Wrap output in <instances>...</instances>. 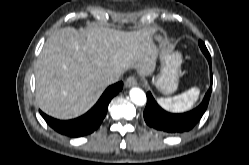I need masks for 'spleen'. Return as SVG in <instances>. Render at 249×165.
Masks as SVG:
<instances>
[{"label": "spleen", "mask_w": 249, "mask_h": 165, "mask_svg": "<svg viewBox=\"0 0 249 165\" xmlns=\"http://www.w3.org/2000/svg\"><path fill=\"white\" fill-rule=\"evenodd\" d=\"M199 94L200 90L193 87L172 98H159L157 102L166 110L184 112L193 107L194 103L198 100Z\"/></svg>", "instance_id": "spleen-1"}]
</instances>
